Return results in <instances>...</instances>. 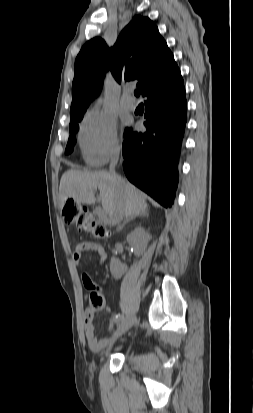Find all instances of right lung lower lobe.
<instances>
[{"label":"right lung lower lobe","instance_id":"obj_1","mask_svg":"<svg viewBox=\"0 0 253 413\" xmlns=\"http://www.w3.org/2000/svg\"><path fill=\"white\" fill-rule=\"evenodd\" d=\"M145 105L146 132L125 131L123 169L129 181L170 207L178 184L177 164L187 121L184 85L152 94Z\"/></svg>","mask_w":253,"mask_h":413}]
</instances>
